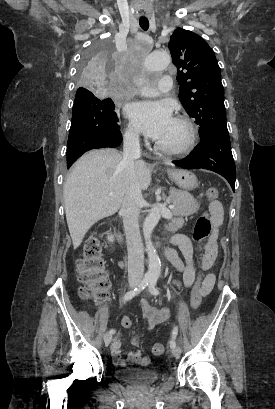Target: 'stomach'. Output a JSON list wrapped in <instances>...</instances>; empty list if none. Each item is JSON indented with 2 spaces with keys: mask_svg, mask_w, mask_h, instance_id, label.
Returning <instances> with one entry per match:
<instances>
[{
  "mask_svg": "<svg viewBox=\"0 0 275 409\" xmlns=\"http://www.w3.org/2000/svg\"><path fill=\"white\" fill-rule=\"evenodd\" d=\"M169 178L176 182L182 190H192L198 184L197 176L190 170H181V168H168Z\"/></svg>",
  "mask_w": 275,
  "mask_h": 409,
  "instance_id": "1",
  "label": "stomach"
}]
</instances>
